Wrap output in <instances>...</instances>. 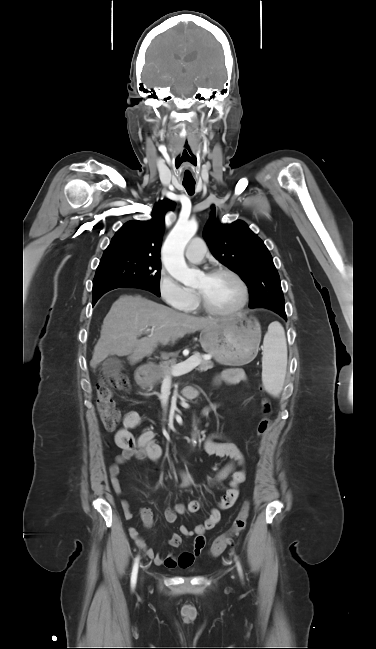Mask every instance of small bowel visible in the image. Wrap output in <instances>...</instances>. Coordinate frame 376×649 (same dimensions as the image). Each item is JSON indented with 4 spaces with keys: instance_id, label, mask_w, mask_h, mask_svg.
Masks as SVG:
<instances>
[{
    "instance_id": "obj_1",
    "label": "small bowel",
    "mask_w": 376,
    "mask_h": 649,
    "mask_svg": "<svg viewBox=\"0 0 376 649\" xmlns=\"http://www.w3.org/2000/svg\"><path fill=\"white\" fill-rule=\"evenodd\" d=\"M217 382H224L227 384H236L239 382H245L246 376L244 372L239 368H230L221 372L217 378ZM184 395L187 398H195L198 395V391L194 387H187L184 390ZM216 409V404H211L203 410V414L207 415L211 411ZM141 416L136 411H128L123 418V426L120 428L114 436L115 444L118 448L121 449V453L116 457L115 461L109 466V478L111 486L116 494L122 493V487L120 482V472L122 464L132 458L138 460L149 459L153 462L158 461L162 455V449L160 445L155 441V433L151 430H146L135 438L132 434V430L139 427L141 424ZM217 435H211L205 439L203 443L204 450L209 455H215L218 457H228L230 459L216 475V481L225 480L229 475H231L237 465L243 464V455L239 447L231 441H218ZM180 486L189 487L193 484L192 476L185 472H180ZM245 480L244 470H238L234 472L230 480V487L227 492L222 496L219 501V507L221 509L230 508L236 501L239 495V486ZM123 514L126 520H131L133 518V513L131 507L127 500H123L121 503ZM200 504L198 501H191L188 504H176L173 507H169L165 511V519L168 523L174 524L177 522L178 515L184 513H192L198 511ZM140 516L143 520V523L146 527H151L153 524V515L149 508H141ZM221 514L218 509H212L210 513L205 517L204 521L197 525L194 529H189L186 526H180V534H173L168 541V544L171 547H179L182 543V536L194 537L193 539V549L191 551L182 552L180 554L169 553L167 555H162L156 553L152 548H149L139 531L134 528H129V534L131 538L135 541L138 548L143 550L145 554L154 562L155 565L164 566L168 568H188L194 561L200 556L201 552L205 546V533L214 528L220 521Z\"/></svg>"
}]
</instances>
